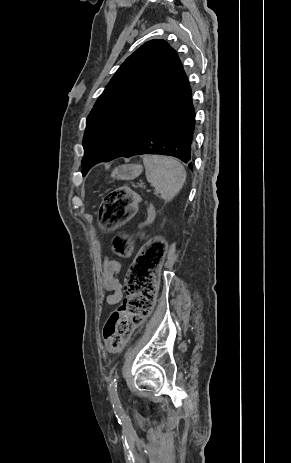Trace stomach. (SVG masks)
Instances as JSON below:
<instances>
[{"instance_id": "0dacf381", "label": "stomach", "mask_w": 291, "mask_h": 463, "mask_svg": "<svg viewBox=\"0 0 291 463\" xmlns=\"http://www.w3.org/2000/svg\"><path fill=\"white\" fill-rule=\"evenodd\" d=\"M142 171L143 168L141 165L127 164L115 168L111 173V177L121 180H132L138 177Z\"/></svg>"}]
</instances>
